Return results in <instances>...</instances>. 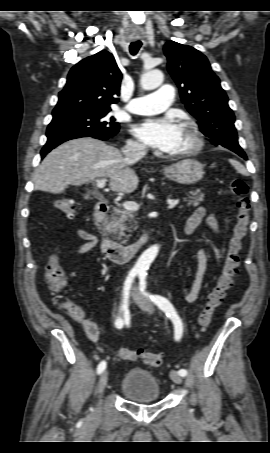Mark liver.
Listing matches in <instances>:
<instances>
[{
    "label": "liver",
    "mask_w": 270,
    "mask_h": 453,
    "mask_svg": "<svg viewBox=\"0 0 270 453\" xmlns=\"http://www.w3.org/2000/svg\"><path fill=\"white\" fill-rule=\"evenodd\" d=\"M118 149L93 138L67 141L52 150L33 176L34 189L53 194L68 185L80 186L97 178H109L114 192L132 193L139 179Z\"/></svg>",
    "instance_id": "liver-1"
}]
</instances>
